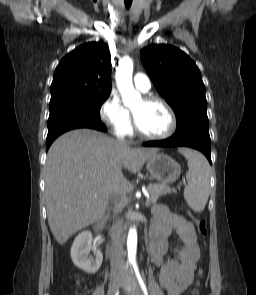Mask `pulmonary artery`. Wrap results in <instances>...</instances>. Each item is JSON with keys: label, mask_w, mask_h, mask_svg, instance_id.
<instances>
[{"label": "pulmonary artery", "mask_w": 256, "mask_h": 295, "mask_svg": "<svg viewBox=\"0 0 256 295\" xmlns=\"http://www.w3.org/2000/svg\"><path fill=\"white\" fill-rule=\"evenodd\" d=\"M134 86L143 93H147L151 88L149 77L143 73H136L133 78Z\"/></svg>", "instance_id": "1"}]
</instances>
